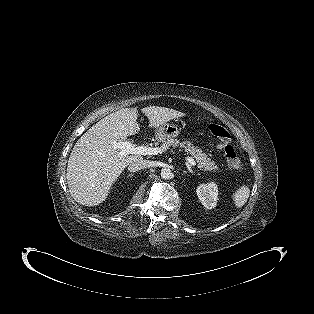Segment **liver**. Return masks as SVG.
Wrapping results in <instances>:
<instances>
[{
  "label": "liver",
  "instance_id": "obj_1",
  "mask_svg": "<svg viewBox=\"0 0 314 314\" xmlns=\"http://www.w3.org/2000/svg\"><path fill=\"white\" fill-rule=\"evenodd\" d=\"M150 128H157L184 113L158 106L142 109ZM138 110L125 108L107 115L74 145L67 166V183L71 196L85 206H96L106 200L113 183L130 163L142 160L140 155H119L114 142H122L139 132Z\"/></svg>",
  "mask_w": 314,
  "mask_h": 314
}]
</instances>
